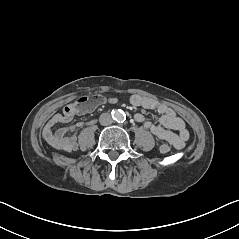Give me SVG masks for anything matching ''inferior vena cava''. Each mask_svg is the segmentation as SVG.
<instances>
[{"instance_id": "602c4592", "label": "inferior vena cava", "mask_w": 239, "mask_h": 239, "mask_svg": "<svg viewBox=\"0 0 239 239\" xmlns=\"http://www.w3.org/2000/svg\"><path fill=\"white\" fill-rule=\"evenodd\" d=\"M99 122L101 125H110L113 122L111 115L107 112L102 113L99 117Z\"/></svg>"}]
</instances>
